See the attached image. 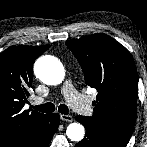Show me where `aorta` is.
<instances>
[{
	"mask_svg": "<svg viewBox=\"0 0 147 147\" xmlns=\"http://www.w3.org/2000/svg\"><path fill=\"white\" fill-rule=\"evenodd\" d=\"M34 73L43 83L47 85H58L65 77L62 63L53 56H42L34 65ZM85 129L80 123H71L66 129V135L71 141H81Z\"/></svg>",
	"mask_w": 147,
	"mask_h": 147,
	"instance_id": "762f6f07",
	"label": "aorta"
}]
</instances>
